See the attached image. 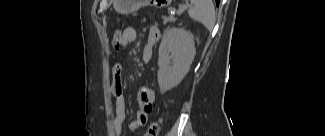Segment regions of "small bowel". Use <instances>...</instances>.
<instances>
[{"mask_svg":"<svg viewBox=\"0 0 325 136\" xmlns=\"http://www.w3.org/2000/svg\"><path fill=\"white\" fill-rule=\"evenodd\" d=\"M137 36L136 29L132 26L121 28L122 47L135 41ZM160 32L157 27H152L148 31L147 40L142 51V59L145 62L151 60L152 47L158 41ZM114 43V42H113ZM123 72L124 67L120 63H115L112 68V93L115 98V116L112 121V128L116 135L123 131L126 120V97L123 91ZM154 91L147 85H142L138 91V111L136 119L130 124L131 132H137L148 123L149 115L152 111Z\"/></svg>","mask_w":325,"mask_h":136,"instance_id":"c3829d8e","label":"small bowel"}]
</instances>
